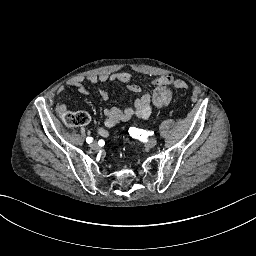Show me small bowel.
Segmentation results:
<instances>
[{"label":"small bowel","instance_id":"small-bowel-1","mask_svg":"<svg viewBox=\"0 0 256 256\" xmlns=\"http://www.w3.org/2000/svg\"><path fill=\"white\" fill-rule=\"evenodd\" d=\"M85 78L76 77L70 80L69 84L76 87V89L82 94H88L89 91L84 85ZM91 84H103L106 82H120L127 85V89L130 92L140 94V97L136 99L132 107L120 109L112 107L104 110V123L103 126L97 129V133L102 138L109 136V128L114 127L119 122L128 121L132 118H139L147 120L152 114L153 108H163L166 106L172 98L171 85L173 83V77L170 75H162L155 79L152 84L155 89L152 94L145 92L142 87L131 81V75L128 72L121 71L115 73H102L100 75H89L86 77ZM65 93V87L61 86L57 91V111L62 114L67 111L66 104L63 100ZM99 96L102 100L109 98V93L106 89H99Z\"/></svg>","mask_w":256,"mask_h":256}]
</instances>
